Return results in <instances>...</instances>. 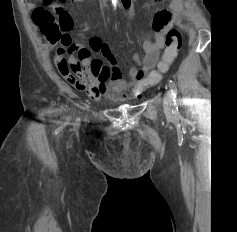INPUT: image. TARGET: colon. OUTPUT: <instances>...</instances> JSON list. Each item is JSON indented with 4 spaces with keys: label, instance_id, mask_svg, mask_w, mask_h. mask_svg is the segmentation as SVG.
Returning a JSON list of instances; mask_svg holds the SVG:
<instances>
[{
    "label": "colon",
    "instance_id": "colon-1",
    "mask_svg": "<svg viewBox=\"0 0 237 232\" xmlns=\"http://www.w3.org/2000/svg\"><path fill=\"white\" fill-rule=\"evenodd\" d=\"M43 0L50 7H38L33 11L32 19L51 45L58 43L66 45L71 42L70 31L73 28L71 15L61 6L66 0ZM182 45V38L175 28L170 29L165 39V50L158 65V69L152 71L147 77L148 86L159 83L163 73L167 72L174 62Z\"/></svg>",
    "mask_w": 237,
    "mask_h": 232
}]
</instances>
